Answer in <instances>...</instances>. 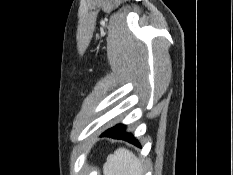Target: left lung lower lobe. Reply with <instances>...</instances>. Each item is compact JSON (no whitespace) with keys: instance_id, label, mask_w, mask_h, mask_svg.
I'll return each mask as SVG.
<instances>
[{"instance_id":"1","label":"left lung lower lobe","mask_w":233,"mask_h":175,"mask_svg":"<svg viewBox=\"0 0 233 175\" xmlns=\"http://www.w3.org/2000/svg\"><path fill=\"white\" fill-rule=\"evenodd\" d=\"M101 136H107L115 139H123L135 145H139V142L135 139V137L131 133L125 132V125L122 124H118L106 130Z\"/></svg>"}]
</instances>
